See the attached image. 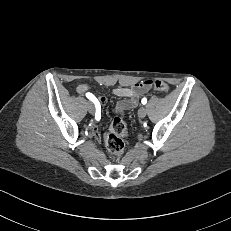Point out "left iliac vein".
<instances>
[{
	"mask_svg": "<svg viewBox=\"0 0 231 231\" xmlns=\"http://www.w3.org/2000/svg\"><path fill=\"white\" fill-rule=\"evenodd\" d=\"M146 109L144 107H141L139 110H138V117L139 118H144L146 116Z\"/></svg>",
	"mask_w": 231,
	"mask_h": 231,
	"instance_id": "left-iliac-vein-1",
	"label": "left iliac vein"
}]
</instances>
